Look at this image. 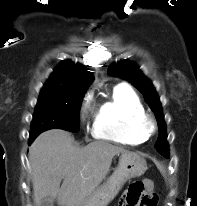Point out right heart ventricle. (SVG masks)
<instances>
[{"mask_svg":"<svg viewBox=\"0 0 197 206\" xmlns=\"http://www.w3.org/2000/svg\"><path fill=\"white\" fill-rule=\"evenodd\" d=\"M145 114L139 96L130 87L118 85L96 113L93 136L120 144H141L147 139L140 130V119Z\"/></svg>","mask_w":197,"mask_h":206,"instance_id":"right-heart-ventricle-1","label":"right heart ventricle"}]
</instances>
